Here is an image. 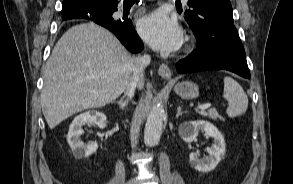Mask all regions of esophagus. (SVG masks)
Segmentation results:
<instances>
[{
  "label": "esophagus",
  "mask_w": 293,
  "mask_h": 184,
  "mask_svg": "<svg viewBox=\"0 0 293 184\" xmlns=\"http://www.w3.org/2000/svg\"><path fill=\"white\" fill-rule=\"evenodd\" d=\"M158 74L164 79H170L172 75L170 68L166 64L159 66Z\"/></svg>",
  "instance_id": "esophagus-1"
}]
</instances>
